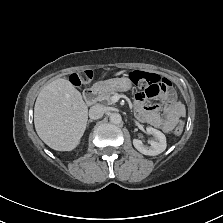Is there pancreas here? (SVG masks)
<instances>
[{"label": "pancreas", "mask_w": 223, "mask_h": 223, "mask_svg": "<svg viewBox=\"0 0 223 223\" xmlns=\"http://www.w3.org/2000/svg\"><path fill=\"white\" fill-rule=\"evenodd\" d=\"M109 94L106 96V97H103L101 98V100L103 102H107V104H112L113 100H112V97L115 95V94H112V92H108Z\"/></svg>", "instance_id": "pancreas-1"}]
</instances>
